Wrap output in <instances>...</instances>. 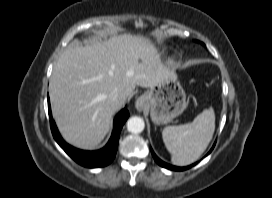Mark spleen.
I'll return each mask as SVG.
<instances>
[{"label": "spleen", "instance_id": "3e777b00", "mask_svg": "<svg viewBox=\"0 0 272 198\" xmlns=\"http://www.w3.org/2000/svg\"><path fill=\"white\" fill-rule=\"evenodd\" d=\"M215 131V114L212 108L198 114L193 122L168 126L162 138L171 153L174 165L185 166L196 161L209 145Z\"/></svg>", "mask_w": 272, "mask_h": 198}]
</instances>
